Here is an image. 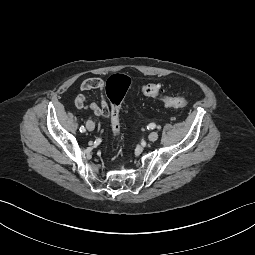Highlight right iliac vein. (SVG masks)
Returning a JSON list of instances; mask_svg holds the SVG:
<instances>
[{"instance_id":"63e3f726","label":"right iliac vein","mask_w":255,"mask_h":255,"mask_svg":"<svg viewBox=\"0 0 255 255\" xmlns=\"http://www.w3.org/2000/svg\"><path fill=\"white\" fill-rule=\"evenodd\" d=\"M86 127H87V129H88L89 131H93L94 128H95V124H94L93 121L88 120V121L86 122Z\"/></svg>"}]
</instances>
